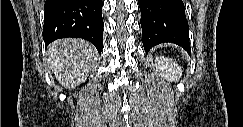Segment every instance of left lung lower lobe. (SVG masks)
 <instances>
[{
  "instance_id": "obj_1",
  "label": "left lung lower lobe",
  "mask_w": 243,
  "mask_h": 127,
  "mask_svg": "<svg viewBox=\"0 0 243 127\" xmlns=\"http://www.w3.org/2000/svg\"><path fill=\"white\" fill-rule=\"evenodd\" d=\"M143 46L146 53L164 42L191 52L189 25L182 0H139Z\"/></svg>"
}]
</instances>
